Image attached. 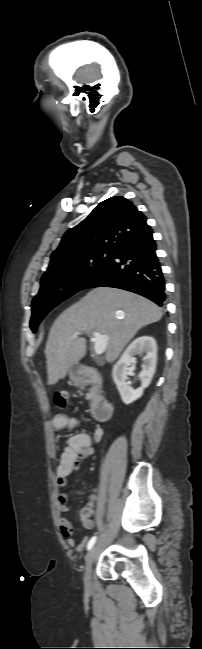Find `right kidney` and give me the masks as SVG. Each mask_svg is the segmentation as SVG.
Returning <instances> with one entry per match:
<instances>
[{
	"label": "right kidney",
	"mask_w": 202,
	"mask_h": 649,
	"mask_svg": "<svg viewBox=\"0 0 202 649\" xmlns=\"http://www.w3.org/2000/svg\"><path fill=\"white\" fill-rule=\"evenodd\" d=\"M145 354L144 365L140 374L141 386L133 389L127 382L128 366L135 363V355ZM157 362V344L153 337L143 335L133 340L126 348L112 370V377L125 404H130L140 398L154 376Z\"/></svg>",
	"instance_id": "obj_1"
}]
</instances>
